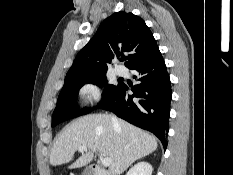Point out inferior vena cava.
Wrapping results in <instances>:
<instances>
[{"label": "inferior vena cava", "instance_id": "obj_1", "mask_svg": "<svg viewBox=\"0 0 233 175\" xmlns=\"http://www.w3.org/2000/svg\"><path fill=\"white\" fill-rule=\"evenodd\" d=\"M112 122H113L114 124H116V123H117V119H116V117H112Z\"/></svg>", "mask_w": 233, "mask_h": 175}]
</instances>
